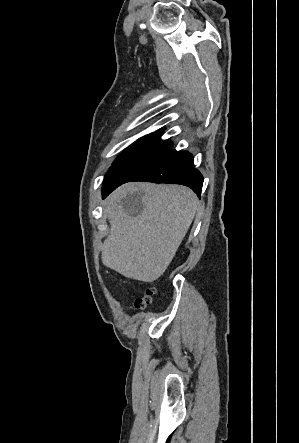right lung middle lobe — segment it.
<instances>
[{
	"mask_svg": "<svg viewBox=\"0 0 299 443\" xmlns=\"http://www.w3.org/2000/svg\"><path fill=\"white\" fill-rule=\"evenodd\" d=\"M171 150L170 142H162L160 134H149L130 145L107 172L103 189L128 182L150 168Z\"/></svg>",
	"mask_w": 299,
	"mask_h": 443,
	"instance_id": "obj_1",
	"label": "right lung middle lobe"
}]
</instances>
